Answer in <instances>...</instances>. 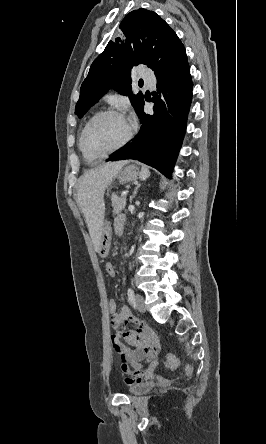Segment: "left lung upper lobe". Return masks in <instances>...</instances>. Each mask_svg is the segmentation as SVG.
<instances>
[{"label":"left lung upper lobe","instance_id":"left-lung-upper-lobe-1","mask_svg":"<svg viewBox=\"0 0 266 444\" xmlns=\"http://www.w3.org/2000/svg\"><path fill=\"white\" fill-rule=\"evenodd\" d=\"M119 28L123 35L108 43L81 85L75 107L79 118L111 87L129 96L138 112L144 97L141 92L132 94L130 69L143 64L157 75L185 52L176 33L153 11L134 10L126 15Z\"/></svg>","mask_w":266,"mask_h":444}]
</instances>
